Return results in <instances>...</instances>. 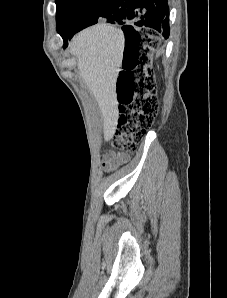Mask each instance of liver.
<instances>
[{"label":"liver","instance_id":"obj_1","mask_svg":"<svg viewBox=\"0 0 227 298\" xmlns=\"http://www.w3.org/2000/svg\"><path fill=\"white\" fill-rule=\"evenodd\" d=\"M124 45L123 32L107 23L81 31L70 45L77 58L78 73L99 105L105 141L113 137L117 125L116 82Z\"/></svg>","mask_w":227,"mask_h":298}]
</instances>
